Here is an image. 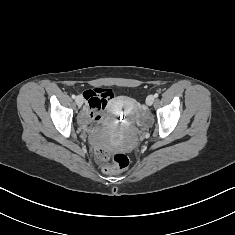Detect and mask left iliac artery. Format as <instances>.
Here are the masks:
<instances>
[{
    "mask_svg": "<svg viewBox=\"0 0 235 235\" xmlns=\"http://www.w3.org/2000/svg\"><path fill=\"white\" fill-rule=\"evenodd\" d=\"M158 96H159V94H158V93H155V94H154V97H155V98H157Z\"/></svg>",
    "mask_w": 235,
    "mask_h": 235,
    "instance_id": "obj_1",
    "label": "left iliac artery"
}]
</instances>
